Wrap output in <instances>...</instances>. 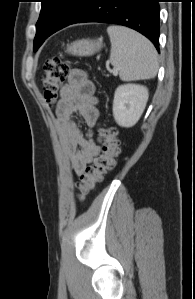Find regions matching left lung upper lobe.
I'll list each match as a JSON object with an SVG mask.
<instances>
[{"label": "left lung upper lobe", "instance_id": "1", "mask_svg": "<svg viewBox=\"0 0 195 299\" xmlns=\"http://www.w3.org/2000/svg\"><path fill=\"white\" fill-rule=\"evenodd\" d=\"M41 13L36 24L34 51L46 38L71 25L81 15L89 0H41Z\"/></svg>", "mask_w": 195, "mask_h": 299}]
</instances>
